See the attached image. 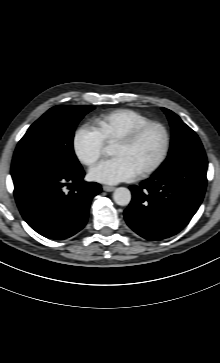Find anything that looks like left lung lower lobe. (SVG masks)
<instances>
[{"mask_svg": "<svg viewBox=\"0 0 220 363\" xmlns=\"http://www.w3.org/2000/svg\"><path fill=\"white\" fill-rule=\"evenodd\" d=\"M206 157H188L130 186L132 201L124 211L129 227L148 240L181 231L199 208L206 189Z\"/></svg>", "mask_w": 220, "mask_h": 363, "instance_id": "0a47b994", "label": "left lung lower lobe"}]
</instances>
